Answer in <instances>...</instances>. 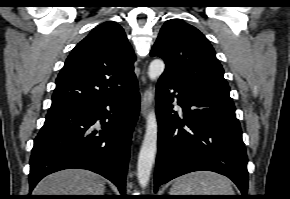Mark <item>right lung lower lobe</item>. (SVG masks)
<instances>
[{"label": "right lung lower lobe", "instance_id": "right-lung-lower-lobe-1", "mask_svg": "<svg viewBox=\"0 0 290 199\" xmlns=\"http://www.w3.org/2000/svg\"><path fill=\"white\" fill-rule=\"evenodd\" d=\"M139 104L135 81L126 90L98 102L47 114L32 149L30 192L50 173L81 168L109 179L124 195Z\"/></svg>", "mask_w": 290, "mask_h": 199}]
</instances>
